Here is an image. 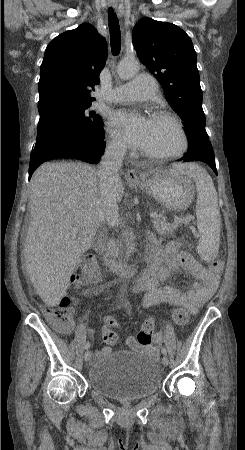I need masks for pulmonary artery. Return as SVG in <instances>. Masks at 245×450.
Instances as JSON below:
<instances>
[{"label": "pulmonary artery", "instance_id": "pulmonary-artery-1", "mask_svg": "<svg viewBox=\"0 0 245 450\" xmlns=\"http://www.w3.org/2000/svg\"><path fill=\"white\" fill-rule=\"evenodd\" d=\"M158 93L154 77L140 75L116 86L108 100L112 102L141 101L154 97Z\"/></svg>", "mask_w": 245, "mask_h": 450}]
</instances>
